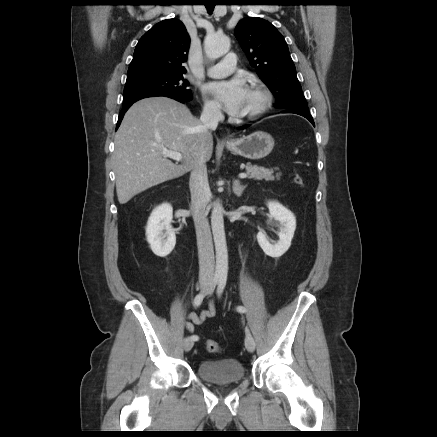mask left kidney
I'll list each match as a JSON object with an SVG mask.
<instances>
[{
    "label": "left kidney",
    "mask_w": 437,
    "mask_h": 437,
    "mask_svg": "<svg viewBox=\"0 0 437 437\" xmlns=\"http://www.w3.org/2000/svg\"><path fill=\"white\" fill-rule=\"evenodd\" d=\"M267 206L269 208V222L279 228L277 232L279 240L274 244L270 243L265 232L261 230L257 234V241L266 255L278 258L291 246L296 229V218L290 210L278 202L269 201Z\"/></svg>",
    "instance_id": "left-kidney-1"
}]
</instances>
